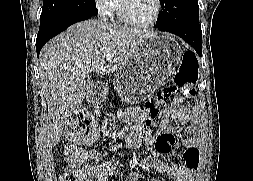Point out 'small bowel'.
I'll return each mask as SVG.
<instances>
[{
  "label": "small bowel",
  "instance_id": "c3829d8e",
  "mask_svg": "<svg viewBox=\"0 0 253 181\" xmlns=\"http://www.w3.org/2000/svg\"><path fill=\"white\" fill-rule=\"evenodd\" d=\"M186 98L178 95L173 99L172 106L163 111L162 118L159 120L157 130L147 126L146 113L137 108H131L124 111L125 120H133L135 124L129 136L124 137L119 132L117 135L124 144L135 148L139 141L144 138L147 145L156 143L161 156L167 157L172 152L174 145L173 129L171 122L175 121L178 125L190 124L188 135L181 141L185 147L183 155L184 163L170 164L164 158H153L147 162V165L155 172L165 175L171 181H193L194 175L199 165V128L200 123L197 119V108L191 103L184 106ZM116 132L115 122L107 119L102 124V133L108 136ZM68 163L73 172L81 174L86 181H110L117 176L119 163L116 160H108L100 164H93L99 154L94 150H85L78 148H68ZM84 162H88L84 164ZM137 163H131L128 167V176L125 181H136ZM150 181H157L151 179Z\"/></svg>",
  "mask_w": 253,
  "mask_h": 181
}]
</instances>
